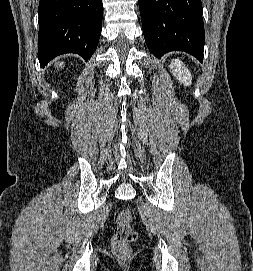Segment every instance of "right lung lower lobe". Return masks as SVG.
Returning a JSON list of instances; mask_svg holds the SVG:
<instances>
[{"mask_svg":"<svg viewBox=\"0 0 253 271\" xmlns=\"http://www.w3.org/2000/svg\"><path fill=\"white\" fill-rule=\"evenodd\" d=\"M38 58L44 67L54 57L76 53L88 60L102 27V0H40Z\"/></svg>","mask_w":253,"mask_h":271,"instance_id":"right-lung-lower-lobe-1","label":"right lung lower lobe"}]
</instances>
